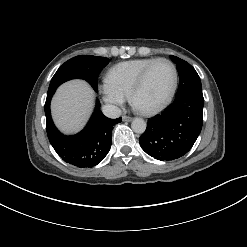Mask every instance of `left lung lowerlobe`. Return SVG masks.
<instances>
[{
	"label": "left lung lower lobe",
	"mask_w": 247,
	"mask_h": 247,
	"mask_svg": "<svg viewBox=\"0 0 247 247\" xmlns=\"http://www.w3.org/2000/svg\"><path fill=\"white\" fill-rule=\"evenodd\" d=\"M202 89L176 93L173 103L149 119L139 138L142 149L157 160H173L186 154L199 136L203 124Z\"/></svg>",
	"instance_id": "left-lung-lower-lobe-1"
}]
</instances>
